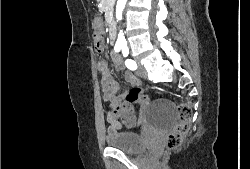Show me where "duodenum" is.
I'll use <instances>...</instances> for the list:
<instances>
[{"instance_id": "410a0bca", "label": "duodenum", "mask_w": 250, "mask_h": 169, "mask_svg": "<svg viewBox=\"0 0 250 169\" xmlns=\"http://www.w3.org/2000/svg\"><path fill=\"white\" fill-rule=\"evenodd\" d=\"M108 33H109L110 41L111 42H115V39H116V28H115V23H114L113 20L110 22Z\"/></svg>"}]
</instances>
